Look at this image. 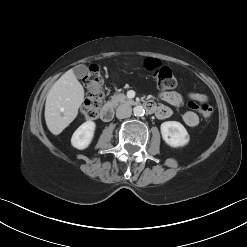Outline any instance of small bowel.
<instances>
[{
  "label": "small bowel",
  "mask_w": 247,
  "mask_h": 247,
  "mask_svg": "<svg viewBox=\"0 0 247 247\" xmlns=\"http://www.w3.org/2000/svg\"><path fill=\"white\" fill-rule=\"evenodd\" d=\"M188 97L190 99L188 105L194 103H204L207 101L206 95L202 93L191 92L188 94ZM160 98L164 102L173 106H180L183 104V97L179 93L174 91L161 92ZM154 113L159 119H166L172 115V109L169 106L160 105L156 107V111ZM182 119L188 127H196L199 124V117L192 110L186 111L183 114Z\"/></svg>",
  "instance_id": "small-bowel-1"
}]
</instances>
